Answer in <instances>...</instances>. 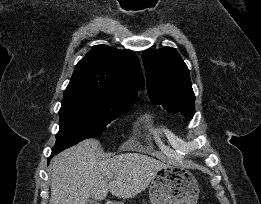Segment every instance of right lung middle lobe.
I'll use <instances>...</instances> for the list:
<instances>
[{
  "label": "right lung middle lobe",
  "instance_id": "obj_1",
  "mask_svg": "<svg viewBox=\"0 0 261 204\" xmlns=\"http://www.w3.org/2000/svg\"><path fill=\"white\" fill-rule=\"evenodd\" d=\"M133 104L103 103L85 94L64 96L59 111L60 129L52 150L60 152L84 139L100 137L106 126Z\"/></svg>",
  "mask_w": 261,
  "mask_h": 204
}]
</instances>
